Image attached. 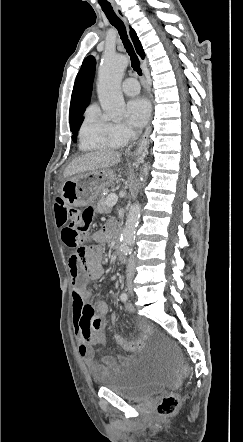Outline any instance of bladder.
<instances>
[{
    "label": "bladder",
    "instance_id": "bladder-1",
    "mask_svg": "<svg viewBox=\"0 0 243 442\" xmlns=\"http://www.w3.org/2000/svg\"><path fill=\"white\" fill-rule=\"evenodd\" d=\"M163 384L164 377L153 367L152 360L141 357H127L97 382L98 386L131 401H141L155 395Z\"/></svg>",
    "mask_w": 243,
    "mask_h": 442
}]
</instances>
